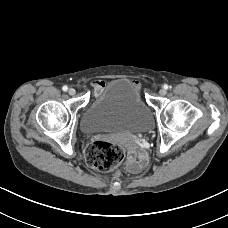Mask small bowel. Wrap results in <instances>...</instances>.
Wrapping results in <instances>:
<instances>
[{
	"instance_id": "obj_1",
	"label": "small bowel",
	"mask_w": 228,
	"mask_h": 228,
	"mask_svg": "<svg viewBox=\"0 0 228 228\" xmlns=\"http://www.w3.org/2000/svg\"><path fill=\"white\" fill-rule=\"evenodd\" d=\"M104 84L102 81H95L94 87L96 91L103 88ZM148 164V157L143 150H137L130 148L128 151L126 167L131 173H139L143 171Z\"/></svg>"
}]
</instances>
